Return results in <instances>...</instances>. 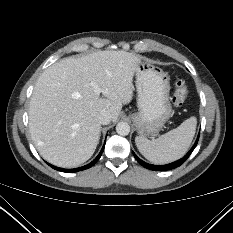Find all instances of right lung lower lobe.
<instances>
[{
    "instance_id": "1",
    "label": "right lung lower lobe",
    "mask_w": 233,
    "mask_h": 233,
    "mask_svg": "<svg viewBox=\"0 0 233 233\" xmlns=\"http://www.w3.org/2000/svg\"><path fill=\"white\" fill-rule=\"evenodd\" d=\"M104 147H105V143L100 151V153L97 155V157L92 161L90 162L89 164L85 165V166H82V167H79V168H74V169H63V168H59V167H56V166H53L51 164H49L53 169L55 170H58V171H62V172H66V173H70V172H78V171H82V170H85V169H88L90 167H92L101 157L103 151H104Z\"/></svg>"
}]
</instances>
